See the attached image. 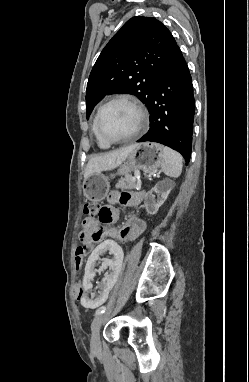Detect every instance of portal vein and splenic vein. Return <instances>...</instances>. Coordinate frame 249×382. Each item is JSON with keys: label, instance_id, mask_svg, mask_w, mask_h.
Masks as SVG:
<instances>
[{"label": "portal vein and splenic vein", "instance_id": "portal-vein-and-splenic-vein-1", "mask_svg": "<svg viewBox=\"0 0 249 382\" xmlns=\"http://www.w3.org/2000/svg\"><path fill=\"white\" fill-rule=\"evenodd\" d=\"M132 180H133V181H136V178L133 177Z\"/></svg>", "mask_w": 249, "mask_h": 382}]
</instances>
